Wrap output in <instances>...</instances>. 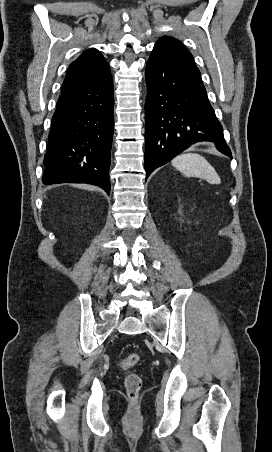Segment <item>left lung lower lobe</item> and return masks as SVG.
Segmentation results:
<instances>
[{"mask_svg":"<svg viewBox=\"0 0 272 452\" xmlns=\"http://www.w3.org/2000/svg\"><path fill=\"white\" fill-rule=\"evenodd\" d=\"M146 81V177L196 142H214L232 158L194 61L169 46L155 45Z\"/></svg>","mask_w":272,"mask_h":452,"instance_id":"0a47b994","label":"left lung lower lobe"}]
</instances>
